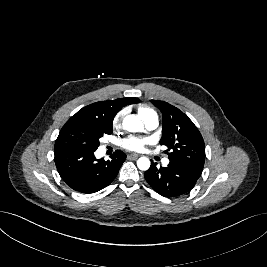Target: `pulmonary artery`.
<instances>
[{
  "label": "pulmonary artery",
  "mask_w": 267,
  "mask_h": 267,
  "mask_svg": "<svg viewBox=\"0 0 267 267\" xmlns=\"http://www.w3.org/2000/svg\"><path fill=\"white\" fill-rule=\"evenodd\" d=\"M144 124H145V126H146V128L148 130L155 129L159 124L158 116L157 115H152V116L144 119ZM162 163H163V165H168L169 164V159L168 158H164L162 160Z\"/></svg>",
  "instance_id": "e3ab8cb5"
}]
</instances>
